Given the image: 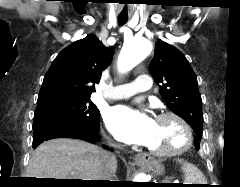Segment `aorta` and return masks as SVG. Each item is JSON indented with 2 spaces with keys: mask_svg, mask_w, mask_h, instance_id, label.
<instances>
[{
  "mask_svg": "<svg viewBox=\"0 0 240 187\" xmlns=\"http://www.w3.org/2000/svg\"><path fill=\"white\" fill-rule=\"evenodd\" d=\"M152 50L151 42L143 37H134L127 42L121 50L118 58V70L126 73L147 57ZM134 182H147L146 175L138 174Z\"/></svg>",
  "mask_w": 240,
  "mask_h": 187,
  "instance_id": "762f6f07",
  "label": "aorta"
}]
</instances>
